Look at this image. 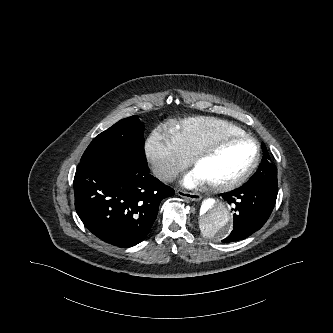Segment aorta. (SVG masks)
Returning <instances> with one entry per match:
<instances>
[{
  "mask_svg": "<svg viewBox=\"0 0 333 333\" xmlns=\"http://www.w3.org/2000/svg\"><path fill=\"white\" fill-rule=\"evenodd\" d=\"M196 218L201 232L211 237L224 236L232 223L229 206L220 197L202 201Z\"/></svg>",
  "mask_w": 333,
  "mask_h": 333,
  "instance_id": "aorta-1",
  "label": "aorta"
}]
</instances>
